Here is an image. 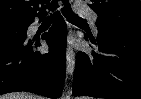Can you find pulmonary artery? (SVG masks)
I'll use <instances>...</instances> for the list:
<instances>
[{
    "mask_svg": "<svg viewBox=\"0 0 141 99\" xmlns=\"http://www.w3.org/2000/svg\"><path fill=\"white\" fill-rule=\"evenodd\" d=\"M78 11L81 15L86 16L91 20L95 31H97L96 23H97L98 16L96 15V13L84 7L78 8Z\"/></svg>",
    "mask_w": 141,
    "mask_h": 99,
    "instance_id": "1",
    "label": "pulmonary artery"
}]
</instances>
